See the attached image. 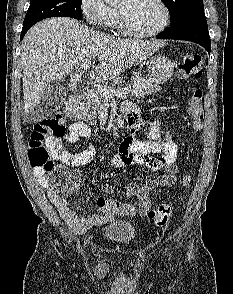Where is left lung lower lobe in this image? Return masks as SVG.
I'll return each mask as SVG.
<instances>
[{
	"label": "left lung lower lobe",
	"instance_id": "1",
	"mask_svg": "<svg viewBox=\"0 0 233 294\" xmlns=\"http://www.w3.org/2000/svg\"><path fill=\"white\" fill-rule=\"evenodd\" d=\"M158 39L186 40L198 43L210 54L211 41L207 24H188L176 29L163 31L156 36Z\"/></svg>",
	"mask_w": 233,
	"mask_h": 294
}]
</instances>
